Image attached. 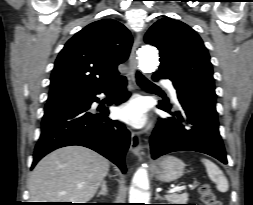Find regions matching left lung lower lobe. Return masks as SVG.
I'll use <instances>...</instances> for the list:
<instances>
[{
    "label": "left lung lower lobe",
    "mask_w": 253,
    "mask_h": 205,
    "mask_svg": "<svg viewBox=\"0 0 253 205\" xmlns=\"http://www.w3.org/2000/svg\"><path fill=\"white\" fill-rule=\"evenodd\" d=\"M168 78L178 93L179 109L160 102L158 108L171 117H159L150 138L152 158L174 151H197L211 155L227 163L224 145L219 134L216 103L195 93L187 92L186 86L159 70L153 76Z\"/></svg>",
    "instance_id": "left-lung-lower-lobe-1"
}]
</instances>
